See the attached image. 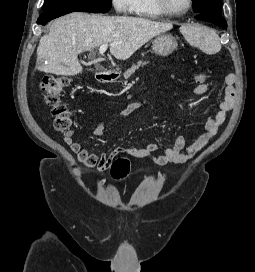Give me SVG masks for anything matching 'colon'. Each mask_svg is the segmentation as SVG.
I'll use <instances>...</instances> for the list:
<instances>
[{"mask_svg":"<svg viewBox=\"0 0 255 272\" xmlns=\"http://www.w3.org/2000/svg\"><path fill=\"white\" fill-rule=\"evenodd\" d=\"M194 78L197 84H203L206 83L208 75L200 72L197 73ZM70 82L71 79L66 76L47 75L40 83L45 100L51 107L52 115L54 117V128L67 136H69L71 133V114L67 107L60 103V96L69 86ZM129 169L130 162L127 159L121 158L112 164L111 175L115 179H121L128 174Z\"/></svg>","mask_w":255,"mask_h":272,"instance_id":"colon-1","label":"colon"}]
</instances>
